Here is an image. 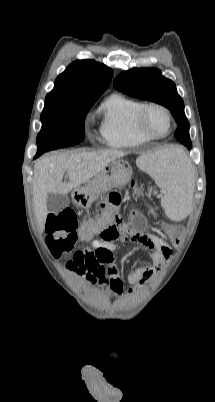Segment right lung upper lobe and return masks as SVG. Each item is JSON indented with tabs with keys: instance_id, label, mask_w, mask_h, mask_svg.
Masks as SVG:
<instances>
[{
	"instance_id": "cb5924a9",
	"label": "right lung upper lobe",
	"mask_w": 215,
	"mask_h": 402,
	"mask_svg": "<svg viewBox=\"0 0 215 402\" xmlns=\"http://www.w3.org/2000/svg\"><path fill=\"white\" fill-rule=\"evenodd\" d=\"M112 75V69L94 60L74 61L56 78L46 98H99Z\"/></svg>"
}]
</instances>
